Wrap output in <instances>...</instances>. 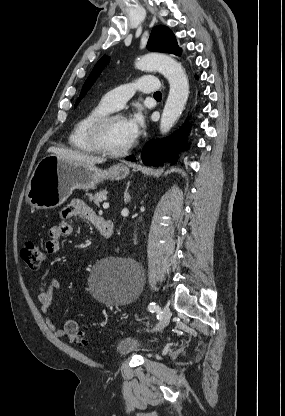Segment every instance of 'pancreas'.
Instances as JSON below:
<instances>
[{
  "label": "pancreas",
  "mask_w": 285,
  "mask_h": 416,
  "mask_svg": "<svg viewBox=\"0 0 285 416\" xmlns=\"http://www.w3.org/2000/svg\"><path fill=\"white\" fill-rule=\"evenodd\" d=\"M108 194L107 190H100V192H96V194H86L89 196V202H93L95 206H100V202H103V196Z\"/></svg>",
  "instance_id": "obj_1"
}]
</instances>
